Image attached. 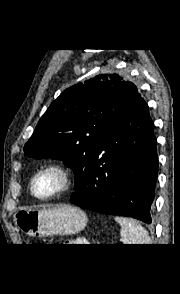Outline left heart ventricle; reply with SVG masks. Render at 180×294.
I'll return each instance as SVG.
<instances>
[{
	"label": "left heart ventricle",
	"mask_w": 180,
	"mask_h": 294,
	"mask_svg": "<svg viewBox=\"0 0 180 294\" xmlns=\"http://www.w3.org/2000/svg\"><path fill=\"white\" fill-rule=\"evenodd\" d=\"M61 185V178L57 173L47 172L40 175L35 182V189L39 195H48Z\"/></svg>",
	"instance_id": "b2bd125f"
}]
</instances>
